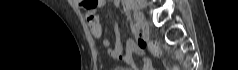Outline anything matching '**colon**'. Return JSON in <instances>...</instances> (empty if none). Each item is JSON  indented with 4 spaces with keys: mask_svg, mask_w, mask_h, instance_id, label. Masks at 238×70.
<instances>
[{
    "mask_svg": "<svg viewBox=\"0 0 238 70\" xmlns=\"http://www.w3.org/2000/svg\"><path fill=\"white\" fill-rule=\"evenodd\" d=\"M85 1H90V0H85ZM151 48H152L154 53H156V54L159 53V50H158V48L155 45H152Z\"/></svg>",
    "mask_w": 238,
    "mask_h": 70,
    "instance_id": "obj_1",
    "label": "colon"
}]
</instances>
